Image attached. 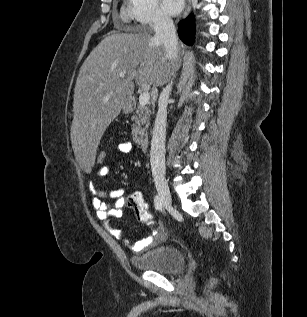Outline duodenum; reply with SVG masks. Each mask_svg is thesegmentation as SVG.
Returning a JSON list of instances; mask_svg holds the SVG:
<instances>
[{"label":"duodenum","instance_id":"410a0bca","mask_svg":"<svg viewBox=\"0 0 307 317\" xmlns=\"http://www.w3.org/2000/svg\"><path fill=\"white\" fill-rule=\"evenodd\" d=\"M140 146L143 150H146L149 146V138L144 136L140 139Z\"/></svg>","mask_w":307,"mask_h":317}]
</instances>
